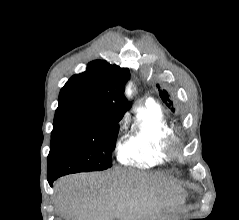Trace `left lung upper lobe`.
I'll use <instances>...</instances> for the list:
<instances>
[{"label":"left lung upper lobe","instance_id":"left-lung-upper-lobe-1","mask_svg":"<svg viewBox=\"0 0 239 220\" xmlns=\"http://www.w3.org/2000/svg\"><path fill=\"white\" fill-rule=\"evenodd\" d=\"M157 87L159 88V85L157 84ZM159 95L162 99V101L167 105L168 108H170V110L174 113L175 111H177V107L176 105H174V103L171 101L170 99V95L168 94V92L166 90H160L159 89Z\"/></svg>","mask_w":239,"mask_h":220}]
</instances>
